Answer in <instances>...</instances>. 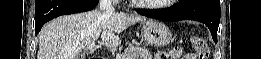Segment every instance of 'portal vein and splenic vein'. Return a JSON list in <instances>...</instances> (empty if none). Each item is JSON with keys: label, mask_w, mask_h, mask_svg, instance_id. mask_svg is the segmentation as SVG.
<instances>
[{"label": "portal vein and splenic vein", "mask_w": 261, "mask_h": 59, "mask_svg": "<svg viewBox=\"0 0 261 59\" xmlns=\"http://www.w3.org/2000/svg\"><path fill=\"white\" fill-rule=\"evenodd\" d=\"M87 48H88L89 50H93V49L95 48V41L90 42V43L87 45Z\"/></svg>", "instance_id": "18ae733b"}]
</instances>
